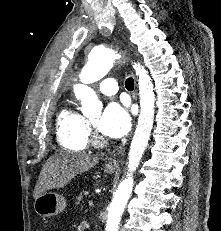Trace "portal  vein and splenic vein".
Returning <instances> with one entry per match:
<instances>
[{
  "instance_id": "obj_1",
  "label": "portal vein and splenic vein",
  "mask_w": 221,
  "mask_h": 231,
  "mask_svg": "<svg viewBox=\"0 0 221 231\" xmlns=\"http://www.w3.org/2000/svg\"><path fill=\"white\" fill-rule=\"evenodd\" d=\"M88 204H89V206H92L93 205V200H89Z\"/></svg>"
}]
</instances>
